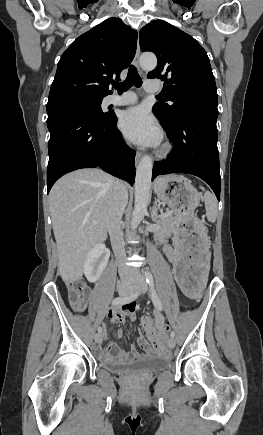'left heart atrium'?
I'll use <instances>...</instances> for the list:
<instances>
[{
    "mask_svg": "<svg viewBox=\"0 0 263 435\" xmlns=\"http://www.w3.org/2000/svg\"><path fill=\"white\" fill-rule=\"evenodd\" d=\"M119 126L124 135L136 144L156 146L161 140L159 126L142 107L126 110L120 118Z\"/></svg>",
    "mask_w": 263,
    "mask_h": 435,
    "instance_id": "39dd6f15",
    "label": "left heart atrium"
}]
</instances>
